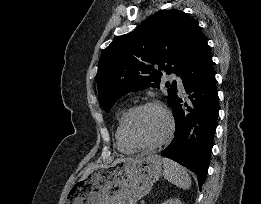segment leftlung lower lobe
<instances>
[{"label": "left lung lower lobe", "instance_id": "1", "mask_svg": "<svg viewBox=\"0 0 261 204\" xmlns=\"http://www.w3.org/2000/svg\"><path fill=\"white\" fill-rule=\"evenodd\" d=\"M179 76L189 97L184 102L177 93L171 104L175 137L162 155L194 172L201 188L209 167L219 111L212 56L201 30L193 40Z\"/></svg>", "mask_w": 261, "mask_h": 204}]
</instances>
